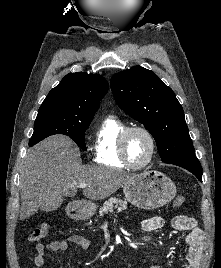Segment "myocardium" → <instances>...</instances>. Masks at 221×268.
<instances>
[{
    "mask_svg": "<svg viewBox=\"0 0 221 268\" xmlns=\"http://www.w3.org/2000/svg\"><path fill=\"white\" fill-rule=\"evenodd\" d=\"M134 131H140L144 133L151 144V150L148 159L142 163V164H134L130 161L128 154H127V148H126V143H127V138L128 136L134 132ZM156 140L154 135L151 133L150 130L143 126L139 125H133V126H128L126 127L120 134L119 139H118V152H119V157L121 161L126 165V167L131 168V169H142L148 166L154 159L155 154H156Z\"/></svg>",
    "mask_w": 221,
    "mask_h": 268,
    "instance_id": "1",
    "label": "myocardium"
}]
</instances>
